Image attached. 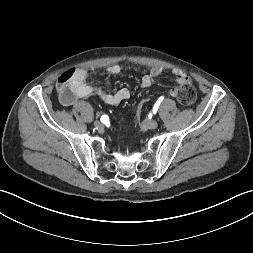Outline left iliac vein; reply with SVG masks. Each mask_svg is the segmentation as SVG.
I'll return each instance as SVG.
<instances>
[{
	"mask_svg": "<svg viewBox=\"0 0 253 253\" xmlns=\"http://www.w3.org/2000/svg\"><path fill=\"white\" fill-rule=\"evenodd\" d=\"M142 126L147 129H155L158 127V122L156 120H146L142 123Z\"/></svg>",
	"mask_w": 253,
	"mask_h": 253,
	"instance_id": "left-iliac-vein-1",
	"label": "left iliac vein"
}]
</instances>
